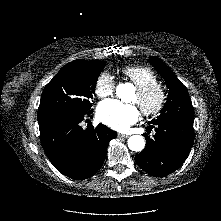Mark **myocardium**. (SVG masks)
<instances>
[{
	"mask_svg": "<svg viewBox=\"0 0 221 221\" xmlns=\"http://www.w3.org/2000/svg\"><path fill=\"white\" fill-rule=\"evenodd\" d=\"M137 104L147 117L159 115L167 102V91L159 83L151 84L136 90Z\"/></svg>",
	"mask_w": 221,
	"mask_h": 221,
	"instance_id": "1",
	"label": "myocardium"
}]
</instances>
